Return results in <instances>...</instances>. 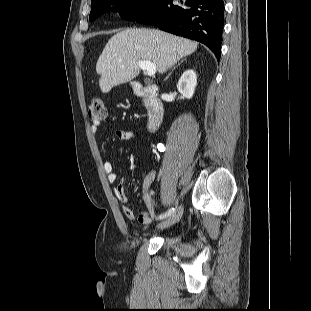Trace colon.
<instances>
[{
  "instance_id": "5ec220e1",
  "label": "colon",
  "mask_w": 311,
  "mask_h": 311,
  "mask_svg": "<svg viewBox=\"0 0 311 311\" xmlns=\"http://www.w3.org/2000/svg\"><path fill=\"white\" fill-rule=\"evenodd\" d=\"M106 110L102 100L92 99L88 106V117L93 122H99L105 118Z\"/></svg>"
}]
</instances>
